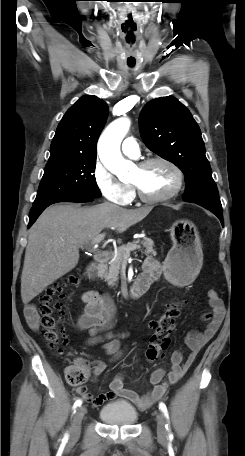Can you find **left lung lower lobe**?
<instances>
[{"label": "left lung lower lobe", "instance_id": "1", "mask_svg": "<svg viewBox=\"0 0 245 456\" xmlns=\"http://www.w3.org/2000/svg\"><path fill=\"white\" fill-rule=\"evenodd\" d=\"M208 210H210L212 213H214L220 219L221 224L224 225L222 212L215 211V210H212V209H208Z\"/></svg>", "mask_w": 245, "mask_h": 456}]
</instances>
